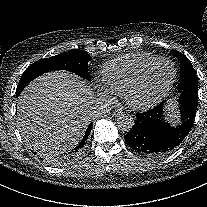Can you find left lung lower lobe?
Listing matches in <instances>:
<instances>
[{
    "instance_id": "1",
    "label": "left lung lower lobe",
    "mask_w": 207,
    "mask_h": 207,
    "mask_svg": "<svg viewBox=\"0 0 207 207\" xmlns=\"http://www.w3.org/2000/svg\"><path fill=\"white\" fill-rule=\"evenodd\" d=\"M180 103L181 123L176 127L165 121L164 103L137 113L133 128L125 135L126 143L135 151L151 156H162L179 146L191 130L197 105Z\"/></svg>"
}]
</instances>
